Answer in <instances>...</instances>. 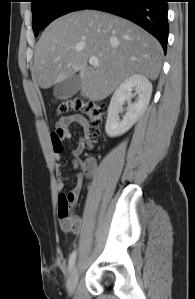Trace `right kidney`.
<instances>
[{
	"instance_id": "right-kidney-1",
	"label": "right kidney",
	"mask_w": 195,
	"mask_h": 299,
	"mask_svg": "<svg viewBox=\"0 0 195 299\" xmlns=\"http://www.w3.org/2000/svg\"><path fill=\"white\" fill-rule=\"evenodd\" d=\"M132 91L138 95L134 103L131 102ZM151 94L152 84L147 77L135 74L124 80L111 98L105 125L106 134L117 137L127 132L147 109ZM125 101L128 102V107L125 116L120 120L118 113Z\"/></svg>"
}]
</instances>
